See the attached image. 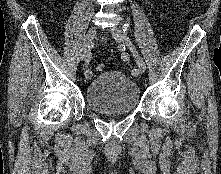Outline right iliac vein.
Returning <instances> with one entry per match:
<instances>
[{
	"label": "right iliac vein",
	"instance_id": "right-iliac-vein-1",
	"mask_svg": "<svg viewBox=\"0 0 221 174\" xmlns=\"http://www.w3.org/2000/svg\"><path fill=\"white\" fill-rule=\"evenodd\" d=\"M96 35V27L92 26L86 36H85V45H84V49L81 55V59L83 61H85V59L87 58L88 54L90 53V46L92 44L93 39L95 38Z\"/></svg>",
	"mask_w": 221,
	"mask_h": 174
}]
</instances>
